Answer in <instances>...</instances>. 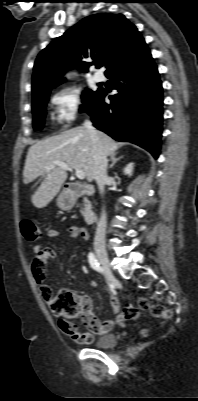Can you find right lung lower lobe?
Wrapping results in <instances>:
<instances>
[{
  "instance_id": "98d812e1",
  "label": "right lung lower lobe",
  "mask_w": 198,
  "mask_h": 401,
  "mask_svg": "<svg viewBox=\"0 0 198 401\" xmlns=\"http://www.w3.org/2000/svg\"><path fill=\"white\" fill-rule=\"evenodd\" d=\"M118 93L104 98L100 94L87 113L93 125L118 141H129L160 153L163 91L157 67L147 45H143L107 74Z\"/></svg>"
}]
</instances>
